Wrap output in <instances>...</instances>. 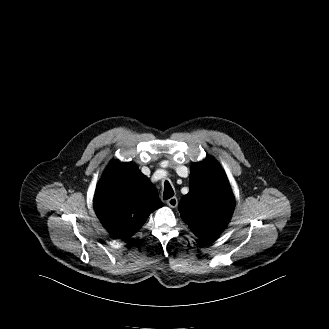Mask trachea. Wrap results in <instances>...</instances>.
Here are the masks:
<instances>
[{
  "instance_id": "1",
  "label": "trachea",
  "mask_w": 329,
  "mask_h": 329,
  "mask_svg": "<svg viewBox=\"0 0 329 329\" xmlns=\"http://www.w3.org/2000/svg\"><path fill=\"white\" fill-rule=\"evenodd\" d=\"M174 195V191L168 181H165L164 183V193H163V198L164 199H169Z\"/></svg>"
}]
</instances>
